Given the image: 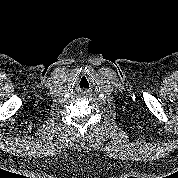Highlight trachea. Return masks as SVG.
I'll return each instance as SVG.
<instances>
[{
    "label": "trachea",
    "instance_id": "trachea-1",
    "mask_svg": "<svg viewBox=\"0 0 178 178\" xmlns=\"http://www.w3.org/2000/svg\"><path fill=\"white\" fill-rule=\"evenodd\" d=\"M89 85H90L89 80L86 77H82L78 82V86L82 90L88 89Z\"/></svg>",
    "mask_w": 178,
    "mask_h": 178
}]
</instances>
